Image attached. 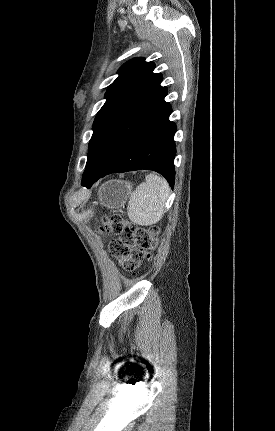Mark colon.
<instances>
[{
    "mask_svg": "<svg viewBox=\"0 0 275 431\" xmlns=\"http://www.w3.org/2000/svg\"><path fill=\"white\" fill-rule=\"evenodd\" d=\"M103 226V230L117 235L110 241L109 250L126 269L135 271L144 260L151 258L158 241V228L138 227L116 215L105 217Z\"/></svg>",
    "mask_w": 275,
    "mask_h": 431,
    "instance_id": "obj_1",
    "label": "colon"
}]
</instances>
